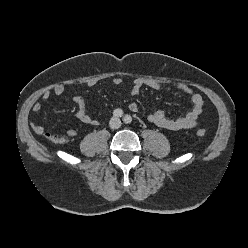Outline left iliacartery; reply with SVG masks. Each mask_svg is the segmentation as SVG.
I'll return each instance as SVG.
<instances>
[{
    "label": "left iliac artery",
    "mask_w": 248,
    "mask_h": 248,
    "mask_svg": "<svg viewBox=\"0 0 248 248\" xmlns=\"http://www.w3.org/2000/svg\"><path fill=\"white\" fill-rule=\"evenodd\" d=\"M123 121H124L126 124H130V123L132 122V118H131L130 115H125Z\"/></svg>",
    "instance_id": "1"
}]
</instances>
